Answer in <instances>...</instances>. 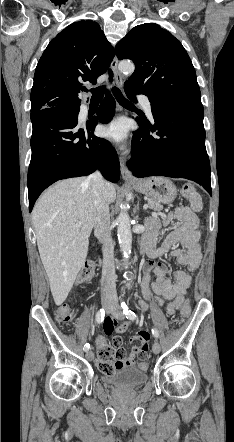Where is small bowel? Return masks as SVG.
<instances>
[{
    "mask_svg": "<svg viewBox=\"0 0 234 442\" xmlns=\"http://www.w3.org/2000/svg\"><path fill=\"white\" fill-rule=\"evenodd\" d=\"M201 209L202 202L200 197L197 196V198L189 199V205L177 207L164 218L152 217L146 222L147 232L144 237L149 240L150 246L147 252L149 260L143 264L142 293L148 300L155 302L168 301L166 312L169 315L174 314L185 305L186 290L191 284V272L196 270L200 264L201 225L198 213ZM174 221L178 225L168 233L161 245L157 246L156 236L160 228ZM178 245H181V247H178ZM168 253L180 264L186 266L187 269L175 271L172 277H168L166 266L157 261ZM152 276L155 277L151 283L153 293L149 289ZM139 305L142 311H147L148 306L144 302H140ZM102 326L107 334H112L114 331L117 334H122L128 329L127 322L117 325L116 319L110 318L103 319ZM149 339V333L146 331H141L129 338V343L139 340L140 348L134 347L130 351L126 358L127 366L132 367L135 365L136 355L138 361L148 359ZM97 343L99 347L109 345L108 341L102 337L97 340ZM110 344L115 349H120L122 340L117 335L111 339Z\"/></svg>",
    "mask_w": 234,
    "mask_h": 442,
    "instance_id": "c3829d8e",
    "label": "small bowel"
}]
</instances>
